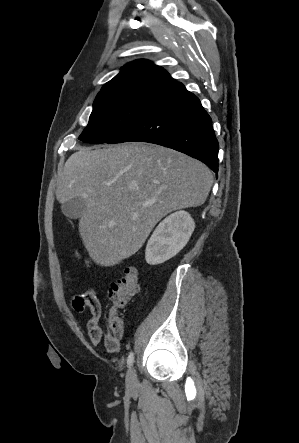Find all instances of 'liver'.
Masks as SVG:
<instances>
[{
  "mask_svg": "<svg viewBox=\"0 0 299 443\" xmlns=\"http://www.w3.org/2000/svg\"><path fill=\"white\" fill-rule=\"evenodd\" d=\"M212 184L211 170L199 160L133 142L80 148L64 165L56 198L61 204L86 199L80 237L94 262L114 266L134 255L165 215L202 205Z\"/></svg>",
  "mask_w": 299,
  "mask_h": 443,
  "instance_id": "liver-1",
  "label": "liver"
}]
</instances>
